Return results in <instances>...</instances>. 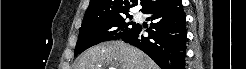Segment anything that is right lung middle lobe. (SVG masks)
I'll use <instances>...</instances> for the list:
<instances>
[{
  "label": "right lung middle lobe",
  "instance_id": "dd1d6c3e",
  "mask_svg": "<svg viewBox=\"0 0 246 69\" xmlns=\"http://www.w3.org/2000/svg\"><path fill=\"white\" fill-rule=\"evenodd\" d=\"M127 18L131 19L132 16L129 14L113 15L100 20L83 21L75 47V56L101 42L120 39L138 26L128 21Z\"/></svg>",
  "mask_w": 246,
  "mask_h": 69
}]
</instances>
